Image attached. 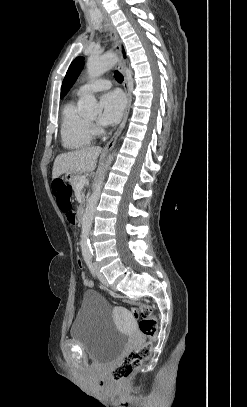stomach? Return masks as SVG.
<instances>
[{
    "label": "stomach",
    "mask_w": 247,
    "mask_h": 407,
    "mask_svg": "<svg viewBox=\"0 0 247 407\" xmlns=\"http://www.w3.org/2000/svg\"><path fill=\"white\" fill-rule=\"evenodd\" d=\"M66 180L67 181H69V182H71L72 181V179L75 177V175L72 173V171H67V173H66Z\"/></svg>",
    "instance_id": "stomach-1"
}]
</instances>
